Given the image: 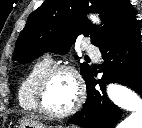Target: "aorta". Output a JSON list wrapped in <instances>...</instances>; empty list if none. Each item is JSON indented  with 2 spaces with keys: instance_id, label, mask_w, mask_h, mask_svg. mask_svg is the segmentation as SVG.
<instances>
[{
  "instance_id": "762f6f07",
  "label": "aorta",
  "mask_w": 142,
  "mask_h": 128,
  "mask_svg": "<svg viewBox=\"0 0 142 128\" xmlns=\"http://www.w3.org/2000/svg\"><path fill=\"white\" fill-rule=\"evenodd\" d=\"M89 18L93 23H99L97 16L90 15ZM107 95L116 106L131 112L118 125V128H142V99L139 95L129 88L118 84L108 85Z\"/></svg>"
}]
</instances>
